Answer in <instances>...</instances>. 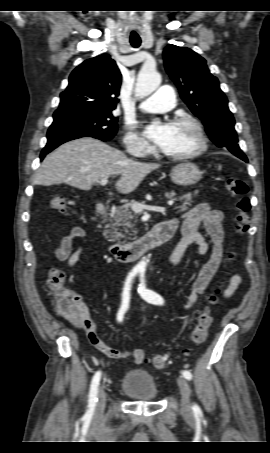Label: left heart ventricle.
Instances as JSON below:
<instances>
[{"instance_id": "b2bd125f", "label": "left heart ventricle", "mask_w": 270, "mask_h": 453, "mask_svg": "<svg viewBox=\"0 0 270 453\" xmlns=\"http://www.w3.org/2000/svg\"><path fill=\"white\" fill-rule=\"evenodd\" d=\"M198 147V138L193 128L186 124H172V134L161 148L167 154H184Z\"/></svg>"}]
</instances>
